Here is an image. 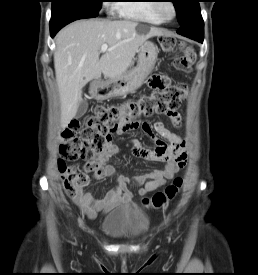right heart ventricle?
<instances>
[{
  "label": "right heart ventricle",
  "instance_id": "right-heart-ventricle-1",
  "mask_svg": "<svg viewBox=\"0 0 258 275\" xmlns=\"http://www.w3.org/2000/svg\"><path fill=\"white\" fill-rule=\"evenodd\" d=\"M115 4L116 11L123 17L159 25L163 21L154 10L155 0H125Z\"/></svg>",
  "mask_w": 258,
  "mask_h": 275
}]
</instances>
